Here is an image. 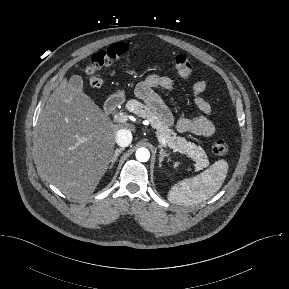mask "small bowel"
I'll return each mask as SVG.
<instances>
[{"label":"small bowel","mask_w":289,"mask_h":289,"mask_svg":"<svg viewBox=\"0 0 289 289\" xmlns=\"http://www.w3.org/2000/svg\"><path fill=\"white\" fill-rule=\"evenodd\" d=\"M174 82L167 76L149 75L141 81L136 88L137 96L144 100L168 126L174 124V118L168 107L157 93L158 89L172 91ZM207 89V83L203 80L197 81L192 87L194 104L200 111L198 115H188L178 119L175 123L176 129L181 133H192L197 136L211 137L215 133V126L210 120L212 108L202 94Z\"/></svg>","instance_id":"small-bowel-1"}]
</instances>
